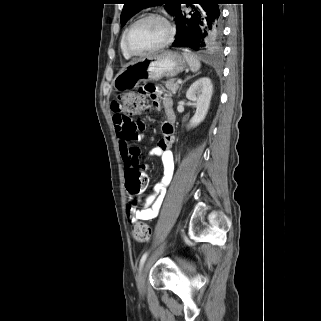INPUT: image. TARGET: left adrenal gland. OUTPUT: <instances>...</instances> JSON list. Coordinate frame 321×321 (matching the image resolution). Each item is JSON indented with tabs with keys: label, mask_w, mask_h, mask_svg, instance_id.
<instances>
[{
	"label": "left adrenal gland",
	"mask_w": 321,
	"mask_h": 321,
	"mask_svg": "<svg viewBox=\"0 0 321 321\" xmlns=\"http://www.w3.org/2000/svg\"><path fill=\"white\" fill-rule=\"evenodd\" d=\"M191 77H188L184 82H186L188 79H190ZM181 89V88H180Z\"/></svg>",
	"instance_id": "a2214340"
}]
</instances>
